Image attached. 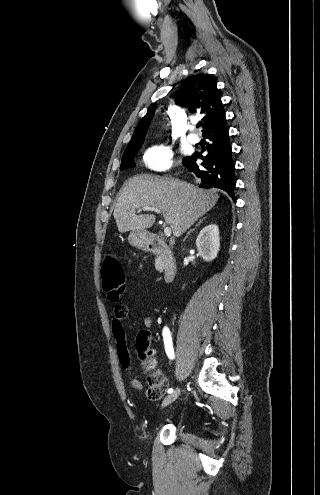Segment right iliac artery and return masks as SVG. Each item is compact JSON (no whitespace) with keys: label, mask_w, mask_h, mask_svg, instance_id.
I'll return each instance as SVG.
<instances>
[{"label":"right iliac artery","mask_w":320,"mask_h":495,"mask_svg":"<svg viewBox=\"0 0 320 495\" xmlns=\"http://www.w3.org/2000/svg\"><path fill=\"white\" fill-rule=\"evenodd\" d=\"M162 334H163V340H164L166 354L170 359H174V350H173V344H172V338H171L170 330L167 327H164ZM172 392H173V389L169 388L168 393L170 394Z\"/></svg>","instance_id":"82829eb1"}]
</instances>
